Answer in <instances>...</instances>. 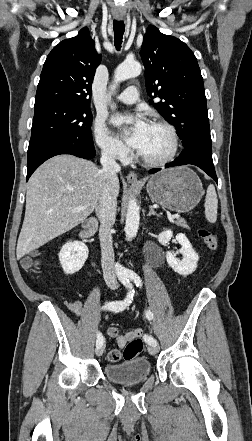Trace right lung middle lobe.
I'll return each instance as SVG.
<instances>
[{
    "instance_id": "dd1d6c3e",
    "label": "right lung middle lobe",
    "mask_w": 252,
    "mask_h": 441,
    "mask_svg": "<svg viewBox=\"0 0 252 441\" xmlns=\"http://www.w3.org/2000/svg\"><path fill=\"white\" fill-rule=\"evenodd\" d=\"M90 105L61 102L35 106L29 145L62 137L92 140Z\"/></svg>"
}]
</instances>
